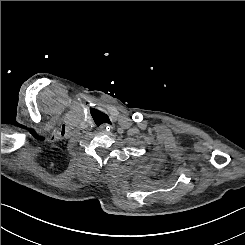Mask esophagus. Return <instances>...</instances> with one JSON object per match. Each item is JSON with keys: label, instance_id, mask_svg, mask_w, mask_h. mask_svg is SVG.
I'll use <instances>...</instances> for the list:
<instances>
[{"label": "esophagus", "instance_id": "esophagus-1", "mask_svg": "<svg viewBox=\"0 0 245 245\" xmlns=\"http://www.w3.org/2000/svg\"><path fill=\"white\" fill-rule=\"evenodd\" d=\"M108 128H112L111 126H107V125H104L103 127L100 128L101 131H106V129L108 130Z\"/></svg>", "mask_w": 245, "mask_h": 245}]
</instances>
